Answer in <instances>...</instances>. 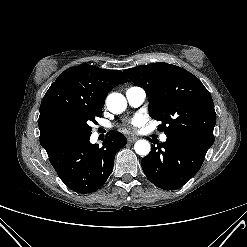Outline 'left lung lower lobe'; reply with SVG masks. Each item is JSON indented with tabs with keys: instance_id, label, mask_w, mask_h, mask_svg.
Segmentation results:
<instances>
[{
	"instance_id": "obj_1",
	"label": "left lung lower lobe",
	"mask_w": 247,
	"mask_h": 247,
	"mask_svg": "<svg viewBox=\"0 0 247 247\" xmlns=\"http://www.w3.org/2000/svg\"><path fill=\"white\" fill-rule=\"evenodd\" d=\"M210 146L186 136H167L141 161L147 178L164 190H175L187 183L200 169Z\"/></svg>"
}]
</instances>
